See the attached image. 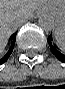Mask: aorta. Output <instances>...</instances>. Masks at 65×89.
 Wrapping results in <instances>:
<instances>
[{
  "instance_id": "762f6f07",
  "label": "aorta",
  "mask_w": 65,
  "mask_h": 89,
  "mask_svg": "<svg viewBox=\"0 0 65 89\" xmlns=\"http://www.w3.org/2000/svg\"><path fill=\"white\" fill-rule=\"evenodd\" d=\"M38 24L44 31H51L55 28V19L48 12H42L38 18Z\"/></svg>"
}]
</instances>
